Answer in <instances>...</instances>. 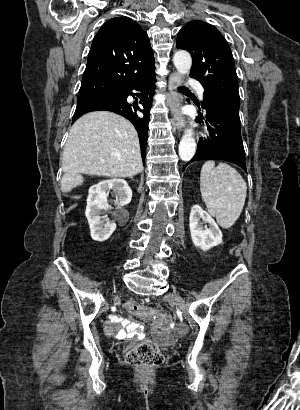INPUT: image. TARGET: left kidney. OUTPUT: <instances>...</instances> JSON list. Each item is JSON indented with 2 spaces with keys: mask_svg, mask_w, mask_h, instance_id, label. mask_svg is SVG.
<instances>
[{
  "mask_svg": "<svg viewBox=\"0 0 300 410\" xmlns=\"http://www.w3.org/2000/svg\"><path fill=\"white\" fill-rule=\"evenodd\" d=\"M202 220L209 227L203 226ZM190 234L193 244L203 251H207L222 243V232L215 220L199 205H194L189 217Z\"/></svg>",
  "mask_w": 300,
  "mask_h": 410,
  "instance_id": "left-kidney-1",
  "label": "left kidney"
}]
</instances>
